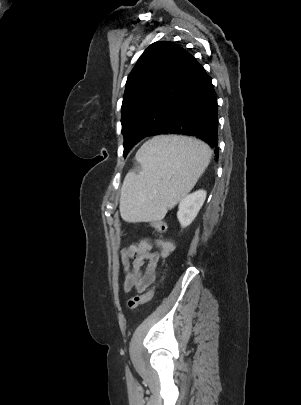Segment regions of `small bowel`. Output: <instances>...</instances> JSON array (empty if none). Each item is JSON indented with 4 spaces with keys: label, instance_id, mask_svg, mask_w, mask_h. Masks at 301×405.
Instances as JSON below:
<instances>
[{
    "label": "small bowel",
    "instance_id": "c3829d8e",
    "mask_svg": "<svg viewBox=\"0 0 301 405\" xmlns=\"http://www.w3.org/2000/svg\"><path fill=\"white\" fill-rule=\"evenodd\" d=\"M153 244L158 248L153 251ZM174 243L167 238L154 242L142 239L121 250L120 256L127 268V278L123 284L124 292L145 291L155 280L160 259L167 258L174 251Z\"/></svg>",
    "mask_w": 301,
    "mask_h": 405
}]
</instances>
